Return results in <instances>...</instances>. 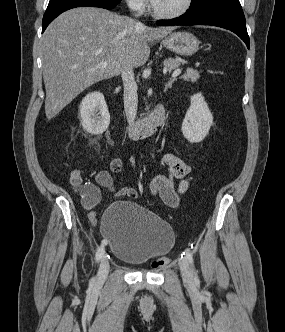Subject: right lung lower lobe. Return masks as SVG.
Wrapping results in <instances>:
<instances>
[{
  "label": "right lung lower lobe",
  "mask_w": 285,
  "mask_h": 332,
  "mask_svg": "<svg viewBox=\"0 0 285 332\" xmlns=\"http://www.w3.org/2000/svg\"><path fill=\"white\" fill-rule=\"evenodd\" d=\"M118 3L104 0H50L42 21V33L46 27L61 13L75 7L91 6L112 9Z\"/></svg>",
  "instance_id": "1"
}]
</instances>
